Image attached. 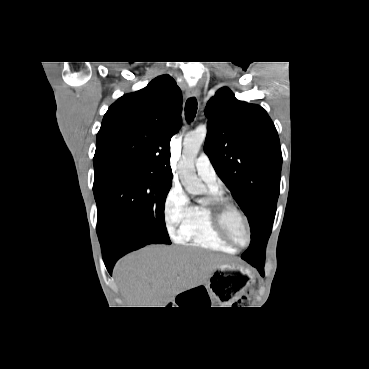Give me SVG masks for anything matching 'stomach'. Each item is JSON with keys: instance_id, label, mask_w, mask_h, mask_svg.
<instances>
[{"instance_id": "1", "label": "stomach", "mask_w": 369, "mask_h": 369, "mask_svg": "<svg viewBox=\"0 0 369 369\" xmlns=\"http://www.w3.org/2000/svg\"><path fill=\"white\" fill-rule=\"evenodd\" d=\"M251 280V273L242 266L223 263L212 273L205 288L214 299L229 303L245 291Z\"/></svg>"}]
</instances>
